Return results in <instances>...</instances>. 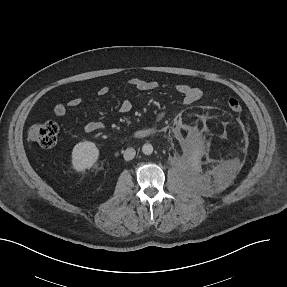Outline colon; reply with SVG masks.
Here are the masks:
<instances>
[{
	"instance_id": "5ec220e1",
	"label": "colon",
	"mask_w": 287,
	"mask_h": 287,
	"mask_svg": "<svg viewBox=\"0 0 287 287\" xmlns=\"http://www.w3.org/2000/svg\"><path fill=\"white\" fill-rule=\"evenodd\" d=\"M227 105L234 113H240L243 110L241 102L236 98H230ZM58 131V125L54 121L38 122L28 128L27 138L42 148H51L56 144Z\"/></svg>"
}]
</instances>
